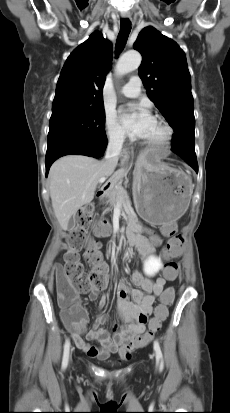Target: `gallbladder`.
Returning <instances> with one entry per match:
<instances>
[{
    "label": "gallbladder",
    "instance_id": "bac80fb5",
    "mask_svg": "<svg viewBox=\"0 0 230 413\" xmlns=\"http://www.w3.org/2000/svg\"><path fill=\"white\" fill-rule=\"evenodd\" d=\"M75 227V222L73 220H70L68 223V229H73Z\"/></svg>",
    "mask_w": 230,
    "mask_h": 413
}]
</instances>
